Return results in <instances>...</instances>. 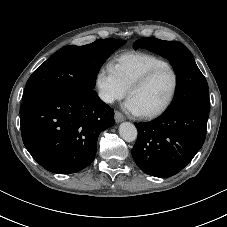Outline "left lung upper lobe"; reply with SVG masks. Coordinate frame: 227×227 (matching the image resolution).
<instances>
[{
  "label": "left lung upper lobe",
  "mask_w": 227,
  "mask_h": 227,
  "mask_svg": "<svg viewBox=\"0 0 227 227\" xmlns=\"http://www.w3.org/2000/svg\"><path fill=\"white\" fill-rule=\"evenodd\" d=\"M134 48H146L167 58L176 73L175 98L164 113L181 109L209 112V89L205 77L197 67L191 52L181 43L157 38H141Z\"/></svg>",
  "instance_id": "1"
}]
</instances>
